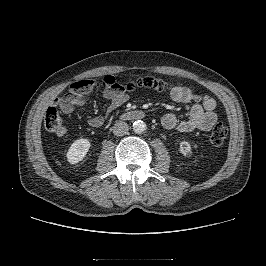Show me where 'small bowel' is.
Listing matches in <instances>:
<instances>
[{"label":"small bowel","mask_w":266,"mask_h":266,"mask_svg":"<svg viewBox=\"0 0 266 266\" xmlns=\"http://www.w3.org/2000/svg\"><path fill=\"white\" fill-rule=\"evenodd\" d=\"M170 95L178 103L190 104L189 118L187 120H179L174 114H166L162 118V125L165 129L180 132L209 131L216 123V101L213 97L194 93L181 83L174 85ZM103 96L110 103L105 116H93L89 119V125L93 128L102 127L106 120L128 100V95L118 89H107L104 91ZM86 101V93L74 94L70 92L66 96L56 99L55 104L65 114H71L75 107L85 105ZM68 134L69 130L66 128L59 133L61 136Z\"/></svg>","instance_id":"small-bowel-1"}]
</instances>
